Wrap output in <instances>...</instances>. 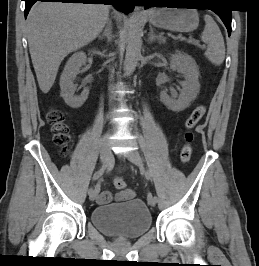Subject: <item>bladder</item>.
<instances>
[{
  "label": "bladder",
  "mask_w": 259,
  "mask_h": 266,
  "mask_svg": "<svg viewBox=\"0 0 259 266\" xmlns=\"http://www.w3.org/2000/svg\"><path fill=\"white\" fill-rule=\"evenodd\" d=\"M90 220L104 235L121 239H137L152 226L151 212L138 198L97 206L91 211Z\"/></svg>",
  "instance_id": "bladder-1"
}]
</instances>
